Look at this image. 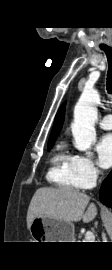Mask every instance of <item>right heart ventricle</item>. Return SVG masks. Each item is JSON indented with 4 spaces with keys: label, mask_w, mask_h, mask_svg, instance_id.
<instances>
[{
    "label": "right heart ventricle",
    "mask_w": 112,
    "mask_h": 270,
    "mask_svg": "<svg viewBox=\"0 0 112 270\" xmlns=\"http://www.w3.org/2000/svg\"><path fill=\"white\" fill-rule=\"evenodd\" d=\"M49 182L68 190L79 189L78 181L74 172L73 156L63 149H59L50 160V168L47 173Z\"/></svg>",
    "instance_id": "1"
}]
</instances>
